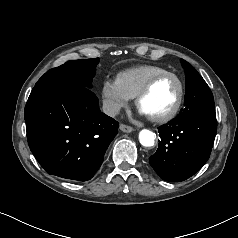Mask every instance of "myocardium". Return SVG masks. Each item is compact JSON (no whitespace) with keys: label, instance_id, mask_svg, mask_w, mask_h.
Wrapping results in <instances>:
<instances>
[{"label":"myocardium","instance_id":"1","mask_svg":"<svg viewBox=\"0 0 238 238\" xmlns=\"http://www.w3.org/2000/svg\"><path fill=\"white\" fill-rule=\"evenodd\" d=\"M164 77H173L177 81L179 86V93H178L175 104L168 112L158 116H148V118L151 121L157 122V123H164V122L170 121L179 113L183 104L184 96H185V84L182 78L176 73H173L170 71H165V72L156 74L152 76L145 83V85L139 90V92L135 96V104L137 108L140 109L139 105L141 100L150 92V90L155 85V83Z\"/></svg>","mask_w":238,"mask_h":238}]
</instances>
